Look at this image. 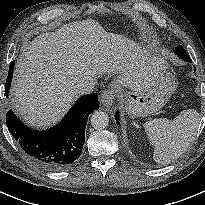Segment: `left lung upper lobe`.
Masks as SVG:
<instances>
[{
	"instance_id": "left-lung-upper-lobe-1",
	"label": "left lung upper lobe",
	"mask_w": 205,
	"mask_h": 205,
	"mask_svg": "<svg viewBox=\"0 0 205 205\" xmlns=\"http://www.w3.org/2000/svg\"><path fill=\"white\" fill-rule=\"evenodd\" d=\"M175 53L182 58L183 60L187 61V62H191L190 57L188 56V54L186 53L185 49L179 45L176 47L175 49Z\"/></svg>"
}]
</instances>
